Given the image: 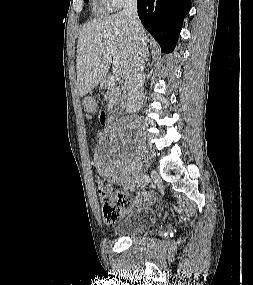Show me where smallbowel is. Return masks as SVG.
<instances>
[{
    "mask_svg": "<svg viewBox=\"0 0 253 285\" xmlns=\"http://www.w3.org/2000/svg\"><path fill=\"white\" fill-rule=\"evenodd\" d=\"M106 114L108 109H98L96 113L97 122H100V126H107ZM155 201V195L152 191H145L135 196V205L138 207L152 204Z\"/></svg>",
    "mask_w": 253,
    "mask_h": 285,
    "instance_id": "c3829d8e",
    "label": "small bowel"
}]
</instances>
